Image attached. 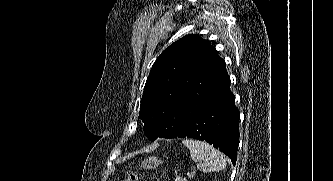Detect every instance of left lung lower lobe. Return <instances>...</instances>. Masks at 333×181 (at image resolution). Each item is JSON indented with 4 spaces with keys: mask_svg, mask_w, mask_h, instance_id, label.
<instances>
[{
    "mask_svg": "<svg viewBox=\"0 0 333 181\" xmlns=\"http://www.w3.org/2000/svg\"><path fill=\"white\" fill-rule=\"evenodd\" d=\"M230 91L228 74L215 86L205 104L182 121H173L175 133L161 138H194L212 144L225 153L233 165L239 143V110Z\"/></svg>",
    "mask_w": 333,
    "mask_h": 181,
    "instance_id": "0a47b994",
    "label": "left lung lower lobe"
}]
</instances>
